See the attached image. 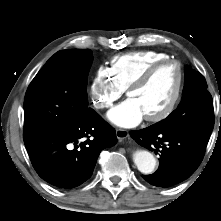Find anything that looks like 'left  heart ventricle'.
<instances>
[{
  "instance_id": "left-heart-ventricle-1",
  "label": "left heart ventricle",
  "mask_w": 221,
  "mask_h": 221,
  "mask_svg": "<svg viewBox=\"0 0 221 221\" xmlns=\"http://www.w3.org/2000/svg\"><path fill=\"white\" fill-rule=\"evenodd\" d=\"M178 82V71L174 65L158 70L150 81L140 89L134 90L129 97L140 105L144 117L161 112L174 96Z\"/></svg>"
}]
</instances>
